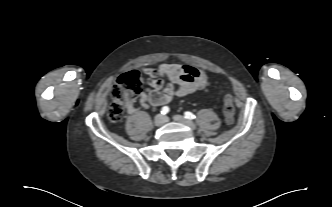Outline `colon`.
I'll return each mask as SVG.
<instances>
[{
    "instance_id": "obj_1",
    "label": "colon",
    "mask_w": 332,
    "mask_h": 207,
    "mask_svg": "<svg viewBox=\"0 0 332 207\" xmlns=\"http://www.w3.org/2000/svg\"><path fill=\"white\" fill-rule=\"evenodd\" d=\"M142 92V76L139 71L132 70L121 75L112 87V101L108 110V118L112 122L120 121L126 112L127 105ZM235 107L233 97L224 96L223 115L227 124L234 122Z\"/></svg>"
}]
</instances>
